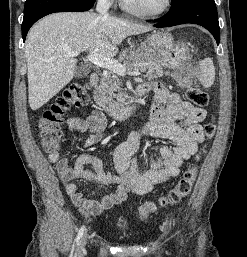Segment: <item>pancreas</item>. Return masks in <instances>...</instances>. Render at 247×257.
Masks as SVG:
<instances>
[{
  "mask_svg": "<svg viewBox=\"0 0 247 257\" xmlns=\"http://www.w3.org/2000/svg\"><path fill=\"white\" fill-rule=\"evenodd\" d=\"M126 66L131 70L144 72V78L148 80H153L164 74L163 67L160 64L142 61L136 57L135 53L131 54ZM96 90L98 93L96 103L102 108H117L124 101L125 93L122 88V81L112 71L102 75L100 85Z\"/></svg>",
  "mask_w": 247,
  "mask_h": 257,
  "instance_id": "cf45deb5",
  "label": "pancreas"
}]
</instances>
